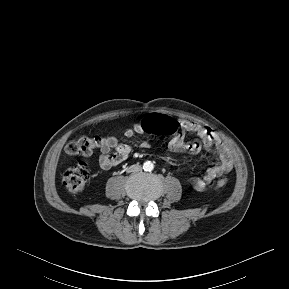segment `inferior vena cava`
<instances>
[{"label": "inferior vena cava", "instance_id": "inferior-vena-cava-1", "mask_svg": "<svg viewBox=\"0 0 289 289\" xmlns=\"http://www.w3.org/2000/svg\"><path fill=\"white\" fill-rule=\"evenodd\" d=\"M142 168L139 164H134V165H131L130 167L127 168V172H138L140 171Z\"/></svg>", "mask_w": 289, "mask_h": 289}]
</instances>
